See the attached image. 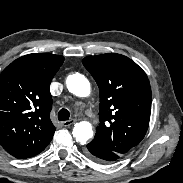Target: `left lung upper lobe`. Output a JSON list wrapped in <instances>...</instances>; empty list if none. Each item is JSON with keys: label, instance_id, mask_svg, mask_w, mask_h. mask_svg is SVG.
<instances>
[{"label": "left lung upper lobe", "instance_id": "obj_1", "mask_svg": "<svg viewBox=\"0 0 183 183\" xmlns=\"http://www.w3.org/2000/svg\"><path fill=\"white\" fill-rule=\"evenodd\" d=\"M82 62L100 92V123L93 140L125 155L140 143L148 129L152 101L148 77L121 54L87 56Z\"/></svg>", "mask_w": 183, "mask_h": 183}]
</instances>
